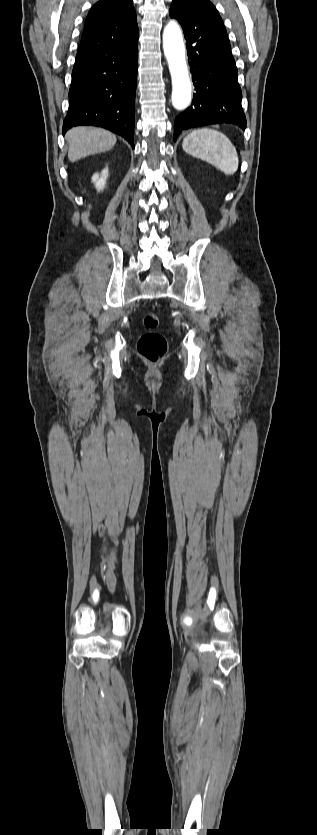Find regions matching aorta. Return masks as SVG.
<instances>
[{"mask_svg":"<svg viewBox=\"0 0 317 835\" xmlns=\"http://www.w3.org/2000/svg\"><path fill=\"white\" fill-rule=\"evenodd\" d=\"M163 49L172 80V105L185 110L191 103L192 84L186 64L185 45L178 23L170 20L163 31Z\"/></svg>","mask_w":317,"mask_h":835,"instance_id":"1","label":"aorta"}]
</instances>
